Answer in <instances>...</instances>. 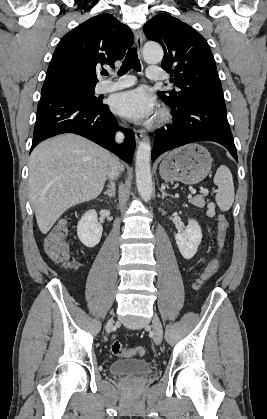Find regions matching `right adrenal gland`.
I'll list each match as a JSON object with an SVG mask.
<instances>
[{"label":"right adrenal gland","mask_w":267,"mask_h":419,"mask_svg":"<svg viewBox=\"0 0 267 419\" xmlns=\"http://www.w3.org/2000/svg\"><path fill=\"white\" fill-rule=\"evenodd\" d=\"M104 195L108 196L109 198H115L116 196V187L114 182L110 183V186H108V189L103 193Z\"/></svg>","instance_id":"1"}]
</instances>
